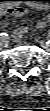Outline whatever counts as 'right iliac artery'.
<instances>
[{"instance_id":"1","label":"right iliac artery","mask_w":50,"mask_h":111,"mask_svg":"<svg viewBox=\"0 0 50 111\" xmlns=\"http://www.w3.org/2000/svg\"><path fill=\"white\" fill-rule=\"evenodd\" d=\"M0 36L4 37V36H7V34L6 33H0Z\"/></svg>"}]
</instances>
